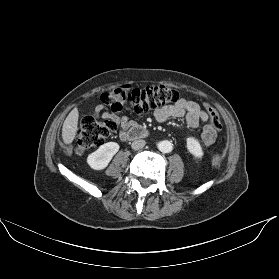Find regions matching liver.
Returning a JSON list of instances; mask_svg holds the SVG:
<instances>
[{"instance_id":"1","label":"liver","mask_w":279,"mask_h":279,"mask_svg":"<svg viewBox=\"0 0 279 279\" xmlns=\"http://www.w3.org/2000/svg\"><path fill=\"white\" fill-rule=\"evenodd\" d=\"M78 119L79 112L78 108L75 107L66 117L62 127V139L66 145H70L77 134Z\"/></svg>"}]
</instances>
